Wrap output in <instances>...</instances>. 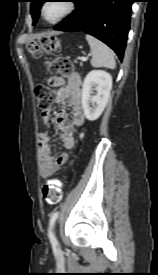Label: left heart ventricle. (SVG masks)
<instances>
[{
    "label": "left heart ventricle",
    "mask_w": 158,
    "mask_h": 275,
    "mask_svg": "<svg viewBox=\"0 0 158 275\" xmlns=\"http://www.w3.org/2000/svg\"><path fill=\"white\" fill-rule=\"evenodd\" d=\"M66 10L65 1H50L44 10L45 17L48 20H54Z\"/></svg>",
    "instance_id": "left-heart-ventricle-1"
}]
</instances>
